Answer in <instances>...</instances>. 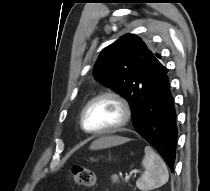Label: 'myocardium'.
<instances>
[{
  "mask_svg": "<svg viewBox=\"0 0 210 191\" xmlns=\"http://www.w3.org/2000/svg\"><path fill=\"white\" fill-rule=\"evenodd\" d=\"M102 99H111V100L115 101L121 108L122 117L117 124H115L111 127L98 129V130H89L85 126L86 111L94 102H96L98 100H102ZM131 114H132V112H131L130 104L122 95H120L117 92H112V91L103 92L101 94L96 95L92 99H90L86 103V105L83 107L81 114H80V126H81L82 130L88 134L101 135V134L113 133V132L119 131L120 129H122L129 123V121L131 119Z\"/></svg>",
  "mask_w": 210,
  "mask_h": 191,
  "instance_id": "myocardium-1",
  "label": "myocardium"
}]
</instances>
